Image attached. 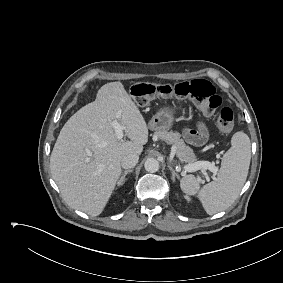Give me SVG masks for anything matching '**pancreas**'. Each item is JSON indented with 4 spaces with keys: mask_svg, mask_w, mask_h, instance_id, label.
Here are the masks:
<instances>
[{
    "mask_svg": "<svg viewBox=\"0 0 283 283\" xmlns=\"http://www.w3.org/2000/svg\"><path fill=\"white\" fill-rule=\"evenodd\" d=\"M156 136L165 141L168 144H171L175 149L176 156L180 161L186 162L188 164H193L196 161V157L189 146H186L184 141L180 139V134L173 131H158L156 132ZM203 169V168H202ZM204 170V169H203Z\"/></svg>",
    "mask_w": 283,
    "mask_h": 283,
    "instance_id": "cf45deb5",
    "label": "pancreas"
}]
</instances>
